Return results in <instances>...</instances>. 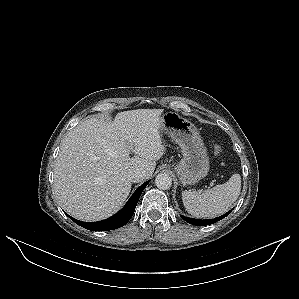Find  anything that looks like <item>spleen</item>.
I'll return each instance as SVG.
<instances>
[{"label": "spleen", "mask_w": 299, "mask_h": 299, "mask_svg": "<svg viewBox=\"0 0 299 299\" xmlns=\"http://www.w3.org/2000/svg\"><path fill=\"white\" fill-rule=\"evenodd\" d=\"M241 190V177L233 174L220 185L204 191H183L182 201L187 212L198 218H213L229 210Z\"/></svg>", "instance_id": "3e777b00"}]
</instances>
